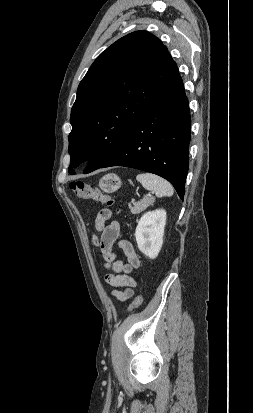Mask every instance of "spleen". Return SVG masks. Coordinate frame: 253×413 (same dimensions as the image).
<instances>
[{"instance_id":"spleen-1","label":"spleen","mask_w":253,"mask_h":413,"mask_svg":"<svg viewBox=\"0 0 253 413\" xmlns=\"http://www.w3.org/2000/svg\"><path fill=\"white\" fill-rule=\"evenodd\" d=\"M136 179L146 190L154 191L157 197H170L174 193L172 185L155 174L141 173L137 175Z\"/></svg>"}]
</instances>
